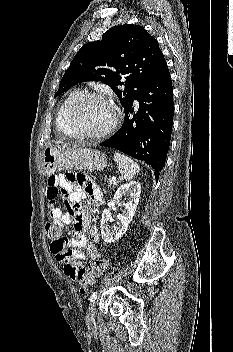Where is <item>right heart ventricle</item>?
<instances>
[{
  "instance_id": "e07e8e85",
  "label": "right heart ventricle",
  "mask_w": 233,
  "mask_h": 352,
  "mask_svg": "<svg viewBox=\"0 0 233 352\" xmlns=\"http://www.w3.org/2000/svg\"><path fill=\"white\" fill-rule=\"evenodd\" d=\"M80 94L79 90L71 91L63 100L56 117V127L63 135L73 137L67 125V113L73 100Z\"/></svg>"
}]
</instances>
